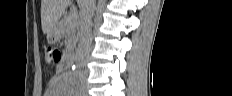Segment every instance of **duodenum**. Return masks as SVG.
Listing matches in <instances>:
<instances>
[{
	"label": "duodenum",
	"mask_w": 232,
	"mask_h": 96,
	"mask_svg": "<svg viewBox=\"0 0 232 96\" xmlns=\"http://www.w3.org/2000/svg\"><path fill=\"white\" fill-rule=\"evenodd\" d=\"M74 63H75L74 58L72 56H67L66 61L63 64V67L68 66V65H72Z\"/></svg>",
	"instance_id": "410a0bca"
}]
</instances>
